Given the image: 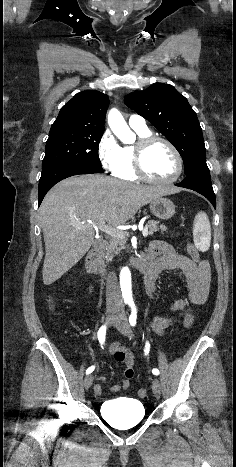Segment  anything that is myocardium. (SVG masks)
Masks as SVG:
<instances>
[{
    "label": "myocardium",
    "instance_id": "myocardium-1",
    "mask_svg": "<svg viewBox=\"0 0 236 467\" xmlns=\"http://www.w3.org/2000/svg\"><path fill=\"white\" fill-rule=\"evenodd\" d=\"M163 143L165 144L174 154L176 162H177V170L175 174L169 179H155L151 177L145 169L144 159L147 151L154 143ZM134 171L136 175L141 178L142 180L153 183V184H160L166 185L176 182L183 173L184 163L183 158L176 148V146L169 141L168 139L156 136V135H148L145 137H141L137 144L134 146Z\"/></svg>",
    "mask_w": 236,
    "mask_h": 467
}]
</instances>
